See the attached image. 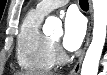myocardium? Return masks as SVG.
Segmentation results:
<instances>
[{
    "mask_svg": "<svg viewBox=\"0 0 107 75\" xmlns=\"http://www.w3.org/2000/svg\"><path fill=\"white\" fill-rule=\"evenodd\" d=\"M54 47H55V53H56V62L58 63H64L66 61V57L59 53L58 51V44L56 41H52Z\"/></svg>",
    "mask_w": 107,
    "mask_h": 75,
    "instance_id": "f54148a6",
    "label": "myocardium"
}]
</instances>
